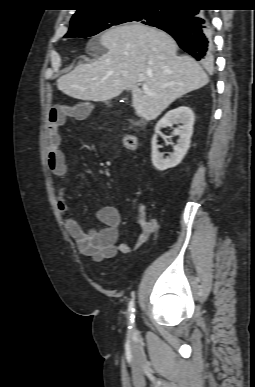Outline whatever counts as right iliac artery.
<instances>
[{"instance_id":"1","label":"right iliac artery","mask_w":255,"mask_h":387,"mask_svg":"<svg viewBox=\"0 0 255 387\" xmlns=\"http://www.w3.org/2000/svg\"><path fill=\"white\" fill-rule=\"evenodd\" d=\"M134 312H135V304H134V300L132 299L129 302V307H128V318L130 323L129 328H132V326L134 325V319H135Z\"/></svg>"}]
</instances>
